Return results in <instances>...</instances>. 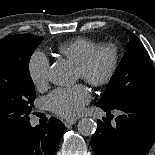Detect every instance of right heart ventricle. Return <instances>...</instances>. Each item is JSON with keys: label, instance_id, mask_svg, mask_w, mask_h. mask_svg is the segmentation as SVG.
Here are the masks:
<instances>
[{"label": "right heart ventricle", "instance_id": "right-heart-ventricle-1", "mask_svg": "<svg viewBox=\"0 0 155 155\" xmlns=\"http://www.w3.org/2000/svg\"><path fill=\"white\" fill-rule=\"evenodd\" d=\"M98 46L99 43L90 38L77 37L60 45L59 52L78 65Z\"/></svg>", "mask_w": 155, "mask_h": 155}]
</instances>
